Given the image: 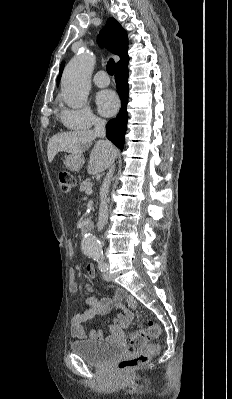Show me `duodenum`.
<instances>
[{
    "label": "duodenum",
    "mask_w": 232,
    "mask_h": 399,
    "mask_svg": "<svg viewBox=\"0 0 232 399\" xmlns=\"http://www.w3.org/2000/svg\"><path fill=\"white\" fill-rule=\"evenodd\" d=\"M81 229H82L83 233H89V232H91L92 227L87 222H83Z\"/></svg>",
    "instance_id": "obj_1"
}]
</instances>
